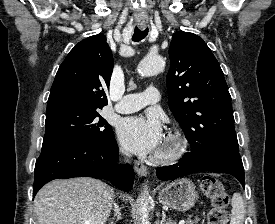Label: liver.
Here are the masks:
<instances>
[{"label":"liver","mask_w":275,"mask_h":224,"mask_svg":"<svg viewBox=\"0 0 275 224\" xmlns=\"http://www.w3.org/2000/svg\"><path fill=\"white\" fill-rule=\"evenodd\" d=\"M114 190L92 178L58 179L34 199L38 224H105L114 203Z\"/></svg>","instance_id":"6515ba94"}]
</instances>
